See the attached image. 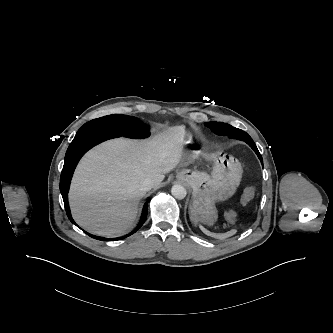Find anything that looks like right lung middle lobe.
Returning <instances> with one entry per match:
<instances>
[{
	"label": "right lung middle lobe",
	"mask_w": 333,
	"mask_h": 333,
	"mask_svg": "<svg viewBox=\"0 0 333 333\" xmlns=\"http://www.w3.org/2000/svg\"><path fill=\"white\" fill-rule=\"evenodd\" d=\"M91 130H103L117 133L129 138H145L149 136V127L136 117L127 115H108L85 123L77 133Z\"/></svg>",
	"instance_id": "1"
}]
</instances>
